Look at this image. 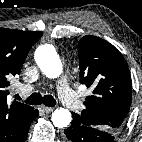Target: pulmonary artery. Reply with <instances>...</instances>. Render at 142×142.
<instances>
[{"mask_svg":"<svg viewBox=\"0 0 142 142\" xmlns=\"http://www.w3.org/2000/svg\"><path fill=\"white\" fill-rule=\"evenodd\" d=\"M24 91L31 90L30 87L23 88ZM59 95L63 103L70 110H77L81 106L80 100L75 96L74 92L69 87L68 81L66 78L61 79L59 82Z\"/></svg>","mask_w":142,"mask_h":142,"instance_id":"obj_1","label":"pulmonary artery"}]
</instances>
